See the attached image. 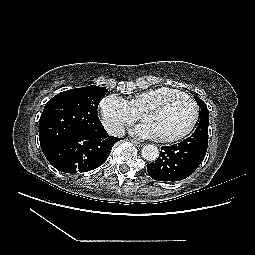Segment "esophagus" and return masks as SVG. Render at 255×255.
I'll return each mask as SVG.
<instances>
[{
	"label": "esophagus",
	"instance_id": "obj_1",
	"mask_svg": "<svg viewBox=\"0 0 255 255\" xmlns=\"http://www.w3.org/2000/svg\"><path fill=\"white\" fill-rule=\"evenodd\" d=\"M131 142H133L136 146H139V147L143 145L140 141L136 139H131Z\"/></svg>",
	"mask_w": 255,
	"mask_h": 255
}]
</instances>
